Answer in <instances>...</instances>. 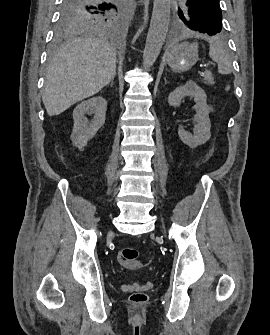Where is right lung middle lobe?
<instances>
[{
  "instance_id": "1",
  "label": "right lung middle lobe",
  "mask_w": 270,
  "mask_h": 335,
  "mask_svg": "<svg viewBox=\"0 0 270 335\" xmlns=\"http://www.w3.org/2000/svg\"><path fill=\"white\" fill-rule=\"evenodd\" d=\"M126 5L125 0H62L55 39L60 42L77 31L119 28Z\"/></svg>"
}]
</instances>
